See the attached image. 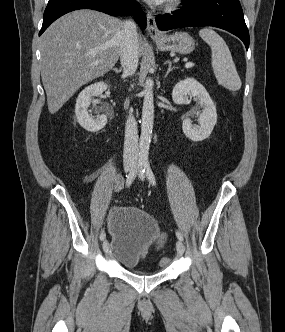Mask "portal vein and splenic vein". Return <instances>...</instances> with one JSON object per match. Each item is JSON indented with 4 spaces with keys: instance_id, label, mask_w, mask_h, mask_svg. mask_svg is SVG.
Masks as SVG:
<instances>
[{
    "instance_id": "obj_1",
    "label": "portal vein and splenic vein",
    "mask_w": 285,
    "mask_h": 332,
    "mask_svg": "<svg viewBox=\"0 0 285 332\" xmlns=\"http://www.w3.org/2000/svg\"><path fill=\"white\" fill-rule=\"evenodd\" d=\"M194 66V63H192V62H187L186 64H185V67L186 68H190V67H193Z\"/></svg>"
}]
</instances>
